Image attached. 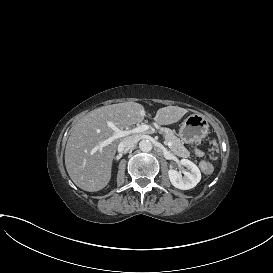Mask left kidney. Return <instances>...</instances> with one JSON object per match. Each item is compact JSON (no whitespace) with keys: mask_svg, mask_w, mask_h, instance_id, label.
<instances>
[{"mask_svg":"<svg viewBox=\"0 0 273 273\" xmlns=\"http://www.w3.org/2000/svg\"><path fill=\"white\" fill-rule=\"evenodd\" d=\"M180 164L187 168L188 171L183 170L184 176L181 172L170 169L168 176L172 185L181 190H189L194 188L201 180V172L199 168L188 159H181Z\"/></svg>","mask_w":273,"mask_h":273,"instance_id":"left-kidney-1","label":"left kidney"}]
</instances>
